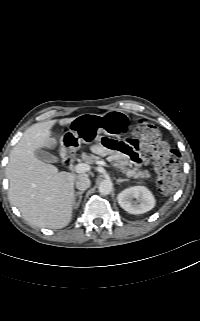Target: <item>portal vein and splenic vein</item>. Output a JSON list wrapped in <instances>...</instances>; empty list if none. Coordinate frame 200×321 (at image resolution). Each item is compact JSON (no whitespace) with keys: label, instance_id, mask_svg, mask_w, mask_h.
Returning a JSON list of instances; mask_svg holds the SVG:
<instances>
[{"label":"portal vein and splenic vein","instance_id":"18ae733b","mask_svg":"<svg viewBox=\"0 0 200 321\" xmlns=\"http://www.w3.org/2000/svg\"><path fill=\"white\" fill-rule=\"evenodd\" d=\"M97 164L102 165V166H106L109 167V165L105 162V161H99L97 162ZM90 165L88 163H79L75 166L74 170L77 173H83V172H87L90 170Z\"/></svg>","mask_w":200,"mask_h":321}]
</instances>
